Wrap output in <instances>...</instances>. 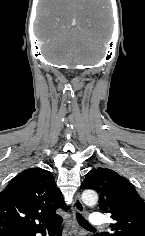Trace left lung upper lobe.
<instances>
[{"instance_id":"obj_1","label":"left lung upper lobe","mask_w":145,"mask_h":236,"mask_svg":"<svg viewBox=\"0 0 145 236\" xmlns=\"http://www.w3.org/2000/svg\"><path fill=\"white\" fill-rule=\"evenodd\" d=\"M82 189L99 193V207L110 213L111 232L99 236H145V204L133 185L111 169L97 168L86 175Z\"/></svg>"}]
</instances>
